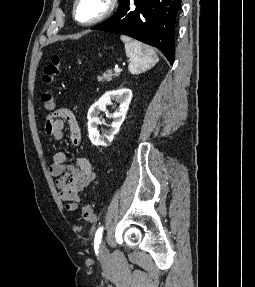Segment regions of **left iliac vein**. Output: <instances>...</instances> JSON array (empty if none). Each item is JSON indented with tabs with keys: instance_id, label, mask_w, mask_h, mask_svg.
Here are the masks:
<instances>
[{
	"instance_id": "4c4485c4",
	"label": "left iliac vein",
	"mask_w": 255,
	"mask_h": 287,
	"mask_svg": "<svg viewBox=\"0 0 255 287\" xmlns=\"http://www.w3.org/2000/svg\"><path fill=\"white\" fill-rule=\"evenodd\" d=\"M99 251H100V254L101 255H104L108 252L107 248H106V245L104 242H102V244L100 245L99 247Z\"/></svg>"
}]
</instances>
